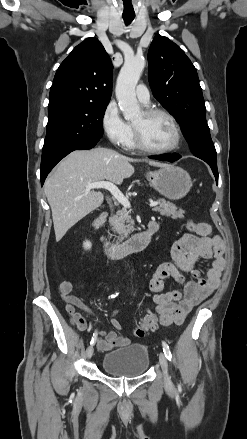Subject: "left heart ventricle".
Returning a JSON list of instances; mask_svg holds the SVG:
<instances>
[{"label":"left heart ventricle","mask_w":247,"mask_h":439,"mask_svg":"<svg viewBox=\"0 0 247 439\" xmlns=\"http://www.w3.org/2000/svg\"><path fill=\"white\" fill-rule=\"evenodd\" d=\"M134 125L141 131L144 142L152 148H166L174 142L173 126L164 116L147 118L142 113Z\"/></svg>","instance_id":"b2bd125f"}]
</instances>
